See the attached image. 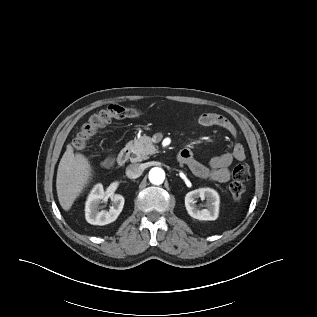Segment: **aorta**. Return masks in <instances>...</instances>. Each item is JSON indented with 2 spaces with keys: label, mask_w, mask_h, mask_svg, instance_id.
<instances>
[{
  "label": "aorta",
  "mask_w": 317,
  "mask_h": 317,
  "mask_svg": "<svg viewBox=\"0 0 317 317\" xmlns=\"http://www.w3.org/2000/svg\"><path fill=\"white\" fill-rule=\"evenodd\" d=\"M165 180V172L160 167H154L149 171V181L154 185H161Z\"/></svg>",
  "instance_id": "aorta-1"
}]
</instances>
